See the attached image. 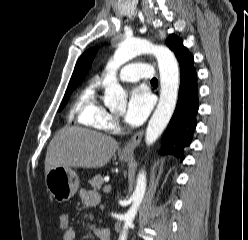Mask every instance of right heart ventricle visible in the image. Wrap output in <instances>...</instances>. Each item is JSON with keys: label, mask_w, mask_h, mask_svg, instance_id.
<instances>
[{"label": "right heart ventricle", "mask_w": 248, "mask_h": 240, "mask_svg": "<svg viewBox=\"0 0 248 240\" xmlns=\"http://www.w3.org/2000/svg\"><path fill=\"white\" fill-rule=\"evenodd\" d=\"M98 88L96 81L90 82L82 89L73 105L76 121L81 125L102 128L101 120L106 111L99 101Z\"/></svg>", "instance_id": "right-heart-ventricle-1"}]
</instances>
